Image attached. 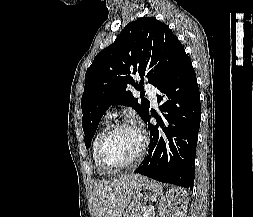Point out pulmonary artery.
I'll return each mask as SVG.
<instances>
[{
    "instance_id": "e3ab8cb5",
    "label": "pulmonary artery",
    "mask_w": 253,
    "mask_h": 217,
    "mask_svg": "<svg viewBox=\"0 0 253 217\" xmlns=\"http://www.w3.org/2000/svg\"><path fill=\"white\" fill-rule=\"evenodd\" d=\"M145 88H146V92L148 94V97H149L150 101L154 105H157V93H158V90L156 89V87H154L151 84H146Z\"/></svg>"
}]
</instances>
